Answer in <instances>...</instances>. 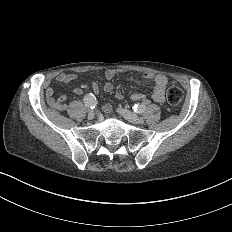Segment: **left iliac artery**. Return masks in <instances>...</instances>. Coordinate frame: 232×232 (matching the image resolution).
I'll return each instance as SVG.
<instances>
[{
  "label": "left iliac artery",
  "instance_id": "1",
  "mask_svg": "<svg viewBox=\"0 0 232 232\" xmlns=\"http://www.w3.org/2000/svg\"><path fill=\"white\" fill-rule=\"evenodd\" d=\"M132 110H133L135 113L142 114V113L146 110V106H145V105H142V104H134V105L132 106Z\"/></svg>",
  "mask_w": 232,
  "mask_h": 232
}]
</instances>
